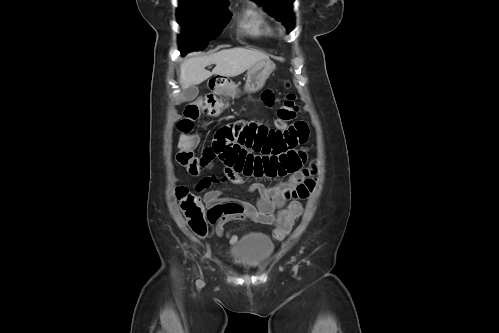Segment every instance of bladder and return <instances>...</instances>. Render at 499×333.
I'll return each instance as SVG.
<instances>
[{
	"mask_svg": "<svg viewBox=\"0 0 499 333\" xmlns=\"http://www.w3.org/2000/svg\"><path fill=\"white\" fill-rule=\"evenodd\" d=\"M274 249L272 239L263 233L247 235L229 249V257L242 269H261Z\"/></svg>",
	"mask_w": 499,
	"mask_h": 333,
	"instance_id": "1",
	"label": "bladder"
}]
</instances>
